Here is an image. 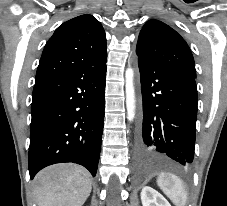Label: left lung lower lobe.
I'll use <instances>...</instances> for the list:
<instances>
[{
  "label": "left lung lower lobe",
  "instance_id": "1",
  "mask_svg": "<svg viewBox=\"0 0 227 206\" xmlns=\"http://www.w3.org/2000/svg\"><path fill=\"white\" fill-rule=\"evenodd\" d=\"M138 66L142 92L139 153L154 150L188 165L195 147V77L142 60H138Z\"/></svg>",
  "mask_w": 227,
  "mask_h": 206
}]
</instances>
